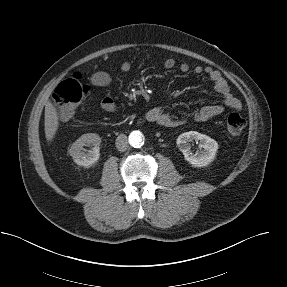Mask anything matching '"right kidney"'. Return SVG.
<instances>
[{"mask_svg": "<svg viewBox=\"0 0 287 287\" xmlns=\"http://www.w3.org/2000/svg\"><path fill=\"white\" fill-rule=\"evenodd\" d=\"M100 144L101 138L98 134H83L71 145L69 154L77 165L91 167L100 158ZM84 146H92V149L87 152Z\"/></svg>", "mask_w": 287, "mask_h": 287, "instance_id": "1", "label": "right kidney"}]
</instances>
